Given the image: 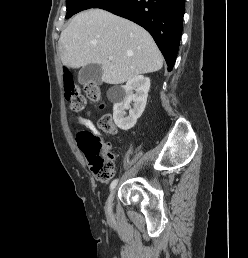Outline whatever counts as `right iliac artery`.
I'll return each mask as SVG.
<instances>
[{
    "label": "right iliac artery",
    "instance_id": "1",
    "mask_svg": "<svg viewBox=\"0 0 248 258\" xmlns=\"http://www.w3.org/2000/svg\"><path fill=\"white\" fill-rule=\"evenodd\" d=\"M118 179H115L112 181L111 185H110V189H114V187L117 185Z\"/></svg>",
    "mask_w": 248,
    "mask_h": 258
}]
</instances>
